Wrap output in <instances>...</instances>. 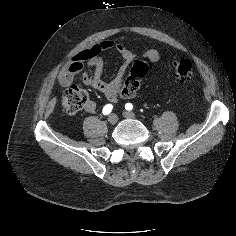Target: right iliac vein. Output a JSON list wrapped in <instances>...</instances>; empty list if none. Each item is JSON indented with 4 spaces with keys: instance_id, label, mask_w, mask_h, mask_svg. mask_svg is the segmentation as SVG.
<instances>
[{
    "instance_id": "1",
    "label": "right iliac vein",
    "mask_w": 236,
    "mask_h": 236,
    "mask_svg": "<svg viewBox=\"0 0 236 236\" xmlns=\"http://www.w3.org/2000/svg\"><path fill=\"white\" fill-rule=\"evenodd\" d=\"M118 121V117L116 114H111L109 117H108V122L110 124H115L116 122Z\"/></svg>"
}]
</instances>
